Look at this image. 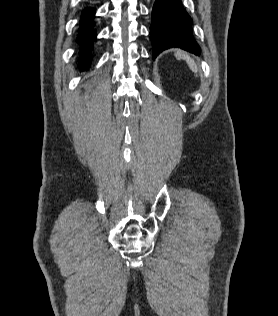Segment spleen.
Wrapping results in <instances>:
<instances>
[{
  "instance_id": "3e777b00",
  "label": "spleen",
  "mask_w": 278,
  "mask_h": 316,
  "mask_svg": "<svg viewBox=\"0 0 278 316\" xmlns=\"http://www.w3.org/2000/svg\"><path fill=\"white\" fill-rule=\"evenodd\" d=\"M175 56L178 60L183 59L187 62L189 68L193 71V72H197L198 68L196 63L194 62V60L192 58H190L186 53L182 52V51H177L175 53Z\"/></svg>"
}]
</instances>
